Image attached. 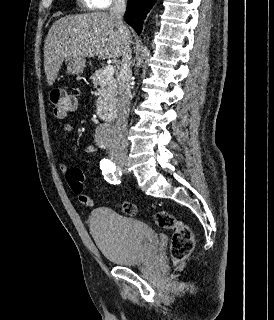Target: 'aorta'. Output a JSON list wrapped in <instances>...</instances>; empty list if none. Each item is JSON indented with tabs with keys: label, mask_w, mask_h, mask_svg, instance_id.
<instances>
[{
	"label": "aorta",
	"mask_w": 274,
	"mask_h": 320,
	"mask_svg": "<svg viewBox=\"0 0 274 320\" xmlns=\"http://www.w3.org/2000/svg\"><path fill=\"white\" fill-rule=\"evenodd\" d=\"M116 129L115 127H111L107 124H105L98 133V140L99 142L103 144H108L110 142H113L115 139Z\"/></svg>",
	"instance_id": "1"
}]
</instances>
